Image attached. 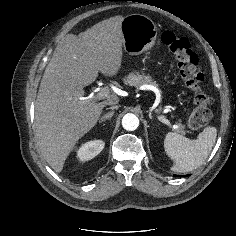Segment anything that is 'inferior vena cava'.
I'll list each match as a JSON object with an SVG mask.
<instances>
[{
  "label": "inferior vena cava",
  "instance_id": "1",
  "mask_svg": "<svg viewBox=\"0 0 236 236\" xmlns=\"http://www.w3.org/2000/svg\"><path fill=\"white\" fill-rule=\"evenodd\" d=\"M112 106L110 107V109H118V106L116 105V103L111 104Z\"/></svg>",
  "mask_w": 236,
  "mask_h": 236
}]
</instances>
